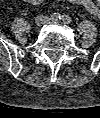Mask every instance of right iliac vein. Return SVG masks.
<instances>
[{"label":"right iliac vein","instance_id":"obj_1","mask_svg":"<svg viewBox=\"0 0 100 118\" xmlns=\"http://www.w3.org/2000/svg\"><path fill=\"white\" fill-rule=\"evenodd\" d=\"M48 21V19H46L45 17H43V16H40V17H38V18H36V24L38 25V26H41L42 24H44L45 22H47Z\"/></svg>","mask_w":100,"mask_h":118}]
</instances>
